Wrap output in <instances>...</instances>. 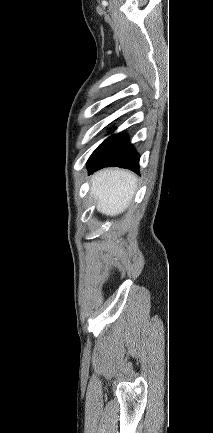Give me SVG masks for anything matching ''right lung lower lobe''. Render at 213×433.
Instances as JSON below:
<instances>
[{"mask_svg":"<svg viewBox=\"0 0 213 433\" xmlns=\"http://www.w3.org/2000/svg\"><path fill=\"white\" fill-rule=\"evenodd\" d=\"M139 157L127 135H112L89 158L87 162L89 173L110 166L128 168L138 173Z\"/></svg>","mask_w":213,"mask_h":433,"instance_id":"98d812e1","label":"right lung lower lobe"}]
</instances>
